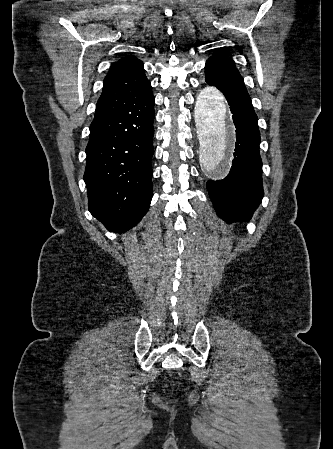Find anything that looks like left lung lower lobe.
Here are the masks:
<instances>
[{
    "mask_svg": "<svg viewBox=\"0 0 333 449\" xmlns=\"http://www.w3.org/2000/svg\"><path fill=\"white\" fill-rule=\"evenodd\" d=\"M206 82L226 97L236 127L232 169L223 180H209L207 189L220 218L248 221L263 198L258 118L244 83L206 73Z\"/></svg>",
    "mask_w": 333,
    "mask_h": 449,
    "instance_id": "left-lung-lower-lobe-1",
    "label": "left lung lower lobe"
}]
</instances>
